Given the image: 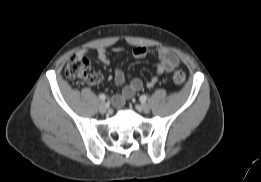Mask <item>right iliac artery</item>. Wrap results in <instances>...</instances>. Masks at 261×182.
I'll list each match as a JSON object with an SVG mask.
<instances>
[{"label": "right iliac artery", "instance_id": "right-iliac-artery-1", "mask_svg": "<svg viewBox=\"0 0 261 182\" xmlns=\"http://www.w3.org/2000/svg\"><path fill=\"white\" fill-rule=\"evenodd\" d=\"M99 99H100L101 101H105V100L107 99V96H106L105 94H100V95H99Z\"/></svg>", "mask_w": 261, "mask_h": 182}]
</instances>
